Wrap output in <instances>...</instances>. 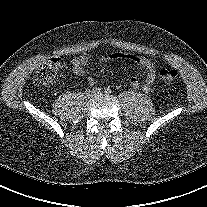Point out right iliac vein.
I'll return each instance as SVG.
<instances>
[{"mask_svg":"<svg viewBox=\"0 0 207 207\" xmlns=\"http://www.w3.org/2000/svg\"><path fill=\"white\" fill-rule=\"evenodd\" d=\"M87 96H92V92L88 91L87 93Z\"/></svg>","mask_w":207,"mask_h":207,"instance_id":"right-iliac-vein-1","label":"right iliac vein"}]
</instances>
